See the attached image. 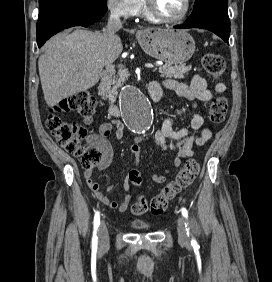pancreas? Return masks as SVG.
I'll list each match as a JSON object with an SVG mask.
<instances>
[{
	"mask_svg": "<svg viewBox=\"0 0 272 282\" xmlns=\"http://www.w3.org/2000/svg\"><path fill=\"white\" fill-rule=\"evenodd\" d=\"M191 70V66L180 65H170L165 64L158 66L154 71H158L161 77L166 78H183ZM129 77V73L126 70H121L117 76H114L110 82L109 97L111 100H114L117 96V89L125 82Z\"/></svg>",
	"mask_w": 272,
	"mask_h": 282,
	"instance_id": "obj_1",
	"label": "pancreas"
}]
</instances>
